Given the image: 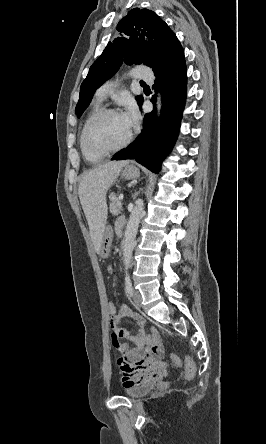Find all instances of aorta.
Wrapping results in <instances>:
<instances>
[{
  "mask_svg": "<svg viewBox=\"0 0 266 444\" xmlns=\"http://www.w3.org/2000/svg\"><path fill=\"white\" fill-rule=\"evenodd\" d=\"M157 111H158V115L160 113V109H161V98L160 95L158 94L157 97ZM144 213V204H143V200L142 199H138L136 201V205L133 208L128 223H127V227L125 230V235H124V240H123V260H124V265H125V269L127 270L130 265H131V259H132V252L135 246V239H136V234H137V230H138V226L140 223V219L141 216Z\"/></svg>",
  "mask_w": 266,
  "mask_h": 444,
  "instance_id": "1",
  "label": "aorta"
}]
</instances>
